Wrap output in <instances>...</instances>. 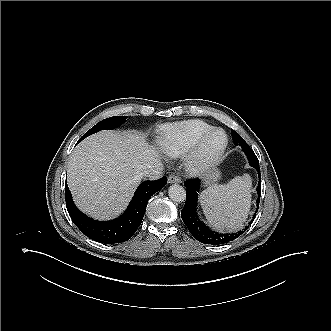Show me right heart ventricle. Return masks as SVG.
Returning a JSON list of instances; mask_svg holds the SVG:
<instances>
[{
	"label": "right heart ventricle",
	"mask_w": 331,
	"mask_h": 331,
	"mask_svg": "<svg viewBox=\"0 0 331 331\" xmlns=\"http://www.w3.org/2000/svg\"><path fill=\"white\" fill-rule=\"evenodd\" d=\"M213 127L198 119L184 120L164 127V135L159 141L160 150L171 157L187 152L204 133Z\"/></svg>",
	"instance_id": "right-heart-ventricle-1"
}]
</instances>
